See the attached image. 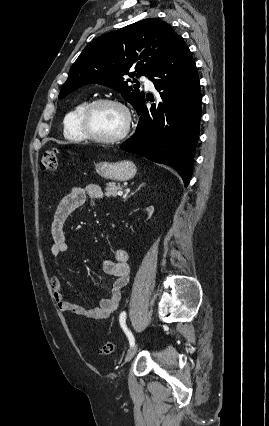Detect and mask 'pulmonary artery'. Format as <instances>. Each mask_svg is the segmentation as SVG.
<instances>
[{"mask_svg": "<svg viewBox=\"0 0 269 426\" xmlns=\"http://www.w3.org/2000/svg\"><path fill=\"white\" fill-rule=\"evenodd\" d=\"M142 81H143L144 85L146 86V88H148L149 90H154V83L150 78L144 76L142 78Z\"/></svg>", "mask_w": 269, "mask_h": 426, "instance_id": "obj_1", "label": "pulmonary artery"}]
</instances>
